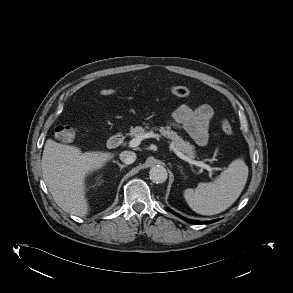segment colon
Masks as SVG:
<instances>
[{
    "instance_id": "obj_1",
    "label": "colon",
    "mask_w": 293,
    "mask_h": 293,
    "mask_svg": "<svg viewBox=\"0 0 293 293\" xmlns=\"http://www.w3.org/2000/svg\"><path fill=\"white\" fill-rule=\"evenodd\" d=\"M114 93L115 90L113 89H103L101 91V94L104 96L113 95ZM170 93L176 97H187L190 95V90L185 86H173L170 88ZM221 128L226 135H233V128L228 119H222ZM55 135L59 141L69 143L75 138L76 130L71 125L60 124L55 129Z\"/></svg>"
}]
</instances>
